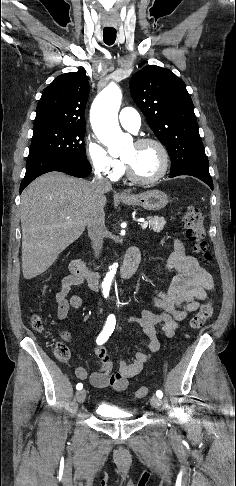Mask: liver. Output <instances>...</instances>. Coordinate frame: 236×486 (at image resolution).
<instances>
[{
    "label": "liver",
    "instance_id": "6515ba94",
    "mask_svg": "<svg viewBox=\"0 0 236 486\" xmlns=\"http://www.w3.org/2000/svg\"><path fill=\"white\" fill-rule=\"evenodd\" d=\"M106 201L103 195V208ZM95 203L88 181L61 172L44 174L23 191L20 214L25 279L45 272L82 235Z\"/></svg>",
    "mask_w": 236,
    "mask_h": 486
}]
</instances>
